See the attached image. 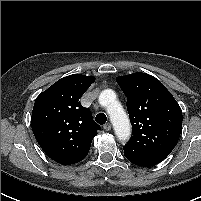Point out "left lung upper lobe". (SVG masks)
Returning <instances> with one entry per match:
<instances>
[{
	"label": "left lung upper lobe",
	"mask_w": 201,
	"mask_h": 201,
	"mask_svg": "<svg viewBox=\"0 0 201 201\" xmlns=\"http://www.w3.org/2000/svg\"><path fill=\"white\" fill-rule=\"evenodd\" d=\"M127 96L132 137L123 147L125 157L138 166H154L176 146L182 111L172 94L155 77L134 73L116 78Z\"/></svg>",
	"instance_id": "1"
}]
</instances>
